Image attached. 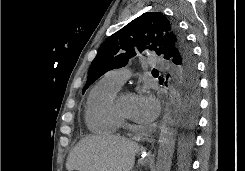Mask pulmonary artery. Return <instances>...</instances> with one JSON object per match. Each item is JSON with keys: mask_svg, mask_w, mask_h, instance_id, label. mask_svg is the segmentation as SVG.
Returning a JSON list of instances; mask_svg holds the SVG:
<instances>
[{"mask_svg": "<svg viewBox=\"0 0 245 171\" xmlns=\"http://www.w3.org/2000/svg\"><path fill=\"white\" fill-rule=\"evenodd\" d=\"M150 61L152 62V65L158 69L160 68L167 69L169 67L167 60L157 56L150 58ZM128 77H129L128 70L125 68H120L107 72L104 79L108 83L120 89Z\"/></svg>", "mask_w": 245, "mask_h": 171, "instance_id": "pulmonary-artery-1", "label": "pulmonary artery"}]
</instances>
